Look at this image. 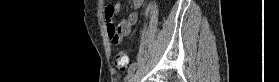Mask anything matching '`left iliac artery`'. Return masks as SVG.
Instances as JSON below:
<instances>
[{
    "label": "left iliac artery",
    "instance_id": "1",
    "mask_svg": "<svg viewBox=\"0 0 279 82\" xmlns=\"http://www.w3.org/2000/svg\"><path fill=\"white\" fill-rule=\"evenodd\" d=\"M137 67L136 63H132L128 69V75L125 77L124 81H129L131 74L135 71Z\"/></svg>",
    "mask_w": 279,
    "mask_h": 82
}]
</instances>
